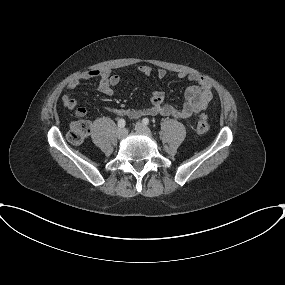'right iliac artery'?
<instances>
[{
    "instance_id": "obj_1",
    "label": "right iliac artery",
    "mask_w": 285,
    "mask_h": 285,
    "mask_svg": "<svg viewBox=\"0 0 285 285\" xmlns=\"http://www.w3.org/2000/svg\"><path fill=\"white\" fill-rule=\"evenodd\" d=\"M125 125H126V122H125V120H124V119H120V120L118 121V127H120V128H124V127H125Z\"/></svg>"
}]
</instances>
